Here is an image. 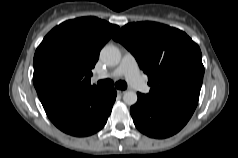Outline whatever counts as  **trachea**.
Segmentation results:
<instances>
[{
    "label": "trachea",
    "mask_w": 238,
    "mask_h": 158,
    "mask_svg": "<svg viewBox=\"0 0 238 158\" xmlns=\"http://www.w3.org/2000/svg\"><path fill=\"white\" fill-rule=\"evenodd\" d=\"M97 84L101 87H111L114 85L113 81L110 79L100 80ZM115 87L121 90H125L127 88V84L125 81H118L115 83Z\"/></svg>",
    "instance_id": "1"
}]
</instances>
